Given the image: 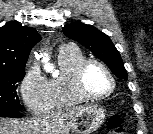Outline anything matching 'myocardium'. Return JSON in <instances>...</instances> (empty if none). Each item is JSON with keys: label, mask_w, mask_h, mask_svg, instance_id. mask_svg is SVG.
<instances>
[{"label": "myocardium", "mask_w": 153, "mask_h": 134, "mask_svg": "<svg viewBox=\"0 0 153 134\" xmlns=\"http://www.w3.org/2000/svg\"><path fill=\"white\" fill-rule=\"evenodd\" d=\"M92 65H96L100 67L109 76L112 85L108 92L104 94L95 95L87 91L85 87V75L88 68ZM73 85H74V90L79 97L87 101H97V100L105 99L109 97L110 95H112L116 89L117 81L113 72L103 62L97 59L88 58V59H84L76 67L73 73Z\"/></svg>", "instance_id": "f54148a6"}]
</instances>
